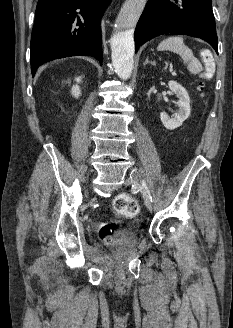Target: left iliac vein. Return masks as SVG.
<instances>
[{
    "label": "left iliac vein",
    "mask_w": 233,
    "mask_h": 328,
    "mask_svg": "<svg viewBox=\"0 0 233 328\" xmlns=\"http://www.w3.org/2000/svg\"><path fill=\"white\" fill-rule=\"evenodd\" d=\"M143 175L138 169H134L130 177L126 179V184L131 186H138L142 181ZM145 205L149 211L153 210L152 204L150 201L145 200Z\"/></svg>",
    "instance_id": "4c4485c4"
}]
</instances>
